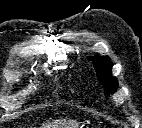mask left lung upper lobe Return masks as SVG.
<instances>
[{"instance_id": "left-lung-upper-lobe-1", "label": "left lung upper lobe", "mask_w": 142, "mask_h": 128, "mask_svg": "<svg viewBox=\"0 0 142 128\" xmlns=\"http://www.w3.org/2000/svg\"><path fill=\"white\" fill-rule=\"evenodd\" d=\"M93 61V65L98 80L104 85L106 93L113 94L118 86L117 79L111 75L112 62L108 56L95 55L89 58Z\"/></svg>"}]
</instances>
